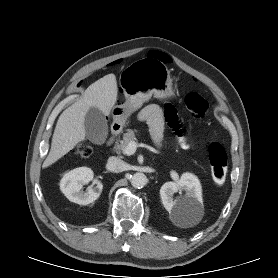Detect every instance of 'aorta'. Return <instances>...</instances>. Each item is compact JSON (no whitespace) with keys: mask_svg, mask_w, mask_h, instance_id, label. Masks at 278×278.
Returning a JSON list of instances; mask_svg holds the SVG:
<instances>
[{"mask_svg":"<svg viewBox=\"0 0 278 278\" xmlns=\"http://www.w3.org/2000/svg\"><path fill=\"white\" fill-rule=\"evenodd\" d=\"M130 181H131V184L134 188L139 189V188H142L146 185L147 178H146L145 174L138 172V173H135V174L132 175Z\"/></svg>","mask_w":278,"mask_h":278,"instance_id":"762f6f07","label":"aorta"}]
</instances>
